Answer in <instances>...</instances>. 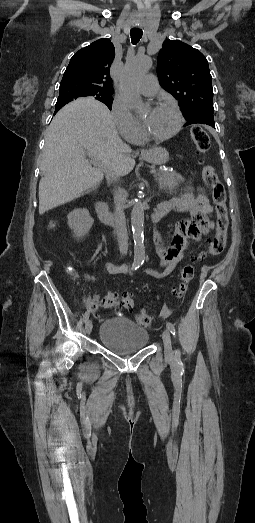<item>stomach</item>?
<instances>
[{
	"label": "stomach",
	"mask_w": 255,
	"mask_h": 523,
	"mask_svg": "<svg viewBox=\"0 0 255 523\" xmlns=\"http://www.w3.org/2000/svg\"><path fill=\"white\" fill-rule=\"evenodd\" d=\"M141 158L153 166H161V164H166L168 160V152L165 148H152V150H144L141 154Z\"/></svg>",
	"instance_id": "stomach-1"
}]
</instances>
